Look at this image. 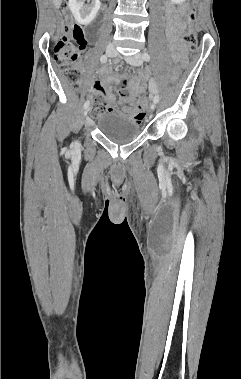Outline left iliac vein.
<instances>
[{"mask_svg": "<svg viewBox=\"0 0 241 379\" xmlns=\"http://www.w3.org/2000/svg\"><path fill=\"white\" fill-rule=\"evenodd\" d=\"M125 60L131 64V65H134V66H140L142 63H143V58H142V55L140 53H137V54H134L132 56H128V57H125ZM155 102H153L150 106L151 110H154L155 109Z\"/></svg>", "mask_w": 241, "mask_h": 379, "instance_id": "left-iliac-vein-1", "label": "left iliac vein"}]
</instances>
